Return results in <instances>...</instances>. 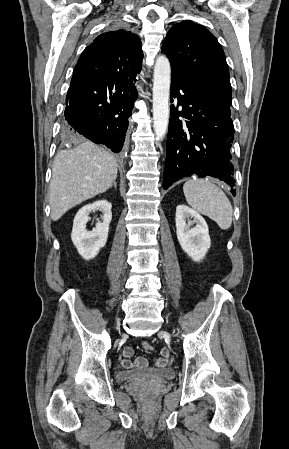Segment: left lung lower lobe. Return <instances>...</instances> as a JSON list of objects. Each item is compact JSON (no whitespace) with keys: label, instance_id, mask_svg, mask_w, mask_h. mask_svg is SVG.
Masks as SVG:
<instances>
[{"label":"left lung lower lobe","instance_id":"left-lung-lower-lobe-1","mask_svg":"<svg viewBox=\"0 0 289 449\" xmlns=\"http://www.w3.org/2000/svg\"><path fill=\"white\" fill-rule=\"evenodd\" d=\"M174 98L177 107H170L164 189L189 176H211L232 188L235 179L230 147L234 128L230 108L191 77L171 74V103ZM231 192L235 196V191Z\"/></svg>","mask_w":289,"mask_h":449}]
</instances>
